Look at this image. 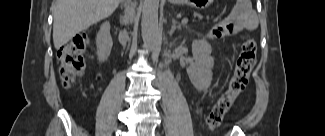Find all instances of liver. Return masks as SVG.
<instances>
[{
  "instance_id": "liver-1",
  "label": "liver",
  "mask_w": 325,
  "mask_h": 136,
  "mask_svg": "<svg viewBox=\"0 0 325 136\" xmlns=\"http://www.w3.org/2000/svg\"><path fill=\"white\" fill-rule=\"evenodd\" d=\"M121 0H55L53 43L59 49L77 33L110 16Z\"/></svg>"
}]
</instances>
